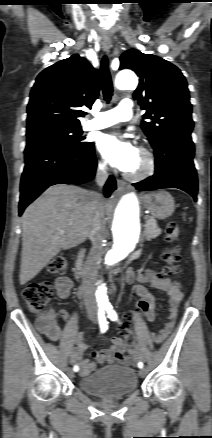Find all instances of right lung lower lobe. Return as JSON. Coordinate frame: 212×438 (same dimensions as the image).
<instances>
[{"instance_id": "1", "label": "right lung lower lobe", "mask_w": 212, "mask_h": 438, "mask_svg": "<svg viewBox=\"0 0 212 438\" xmlns=\"http://www.w3.org/2000/svg\"><path fill=\"white\" fill-rule=\"evenodd\" d=\"M96 168L93 143L85 147H66L48 142L28 143L21 178L19 215L49 186L89 182L94 178ZM115 189V179L110 176L104 186L105 196L109 197Z\"/></svg>"}]
</instances>
